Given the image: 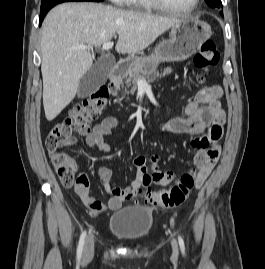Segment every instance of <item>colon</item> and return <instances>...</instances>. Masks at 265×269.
<instances>
[{"label": "colon", "instance_id": "obj_1", "mask_svg": "<svg viewBox=\"0 0 265 269\" xmlns=\"http://www.w3.org/2000/svg\"><path fill=\"white\" fill-rule=\"evenodd\" d=\"M220 59L214 41H205L194 57L195 66L206 74L215 67ZM109 92L106 87H101L81 104L74 106L69 115L59 122L50 131L46 146L53 167L62 185L70 187L75 182L77 166L74 160L64 151V148L73 143L72 134L85 135L90 132V123L97 119L104 111L108 102ZM221 126L216 124L210 130L212 139H220ZM198 183L193 172L184 173L180 180L165 191H149L145 198L153 205L160 207H176L183 204L190 196Z\"/></svg>", "mask_w": 265, "mask_h": 269}]
</instances>
